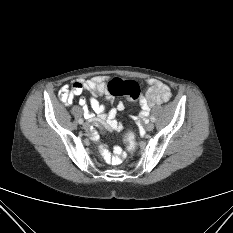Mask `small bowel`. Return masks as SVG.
<instances>
[{"mask_svg":"<svg viewBox=\"0 0 233 233\" xmlns=\"http://www.w3.org/2000/svg\"><path fill=\"white\" fill-rule=\"evenodd\" d=\"M107 80L106 76H96L88 80L76 79L69 85L61 87L59 98L64 104L70 105L74 98L83 91L91 92L90 106L92 111L89 110L85 98L79 99V105L83 108L85 118L95 123H102L110 129H120L122 124L116 119V115L117 112L123 110L124 104L119 102L115 107L108 109L96 98L98 95H102L105 101H113V96L108 90ZM148 84V90L140 97L141 110L137 117L139 122L148 116L153 105L165 103L171 98V90L167 84L157 79L148 80ZM104 156L111 163H119L124 157V151L120 147H114L112 152L106 150Z\"/></svg>","mask_w":233,"mask_h":233,"instance_id":"obj_1","label":"small bowel"}]
</instances>
